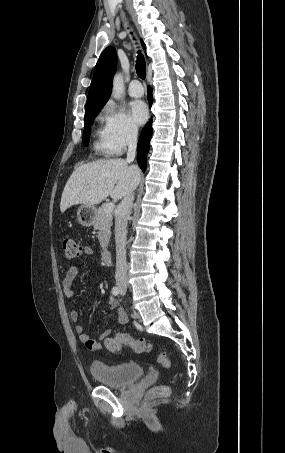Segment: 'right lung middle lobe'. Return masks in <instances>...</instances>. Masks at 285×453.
Masks as SVG:
<instances>
[{
	"label": "right lung middle lobe",
	"mask_w": 285,
	"mask_h": 453,
	"mask_svg": "<svg viewBox=\"0 0 285 453\" xmlns=\"http://www.w3.org/2000/svg\"><path fill=\"white\" fill-rule=\"evenodd\" d=\"M99 111L100 110L89 112V113L85 114V125H84V131H83V144L85 146L88 145L90 128Z\"/></svg>",
	"instance_id": "1"
}]
</instances>
